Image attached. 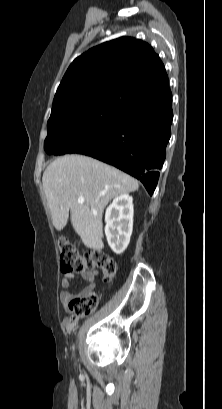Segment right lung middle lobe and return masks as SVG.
Segmentation results:
<instances>
[{
	"label": "right lung middle lobe",
	"instance_id": "right-lung-middle-lobe-1",
	"mask_svg": "<svg viewBox=\"0 0 222 409\" xmlns=\"http://www.w3.org/2000/svg\"><path fill=\"white\" fill-rule=\"evenodd\" d=\"M118 106V103L102 102L73 105L52 112L47 123L45 151L54 155L94 152L109 132Z\"/></svg>",
	"mask_w": 222,
	"mask_h": 409
}]
</instances>
